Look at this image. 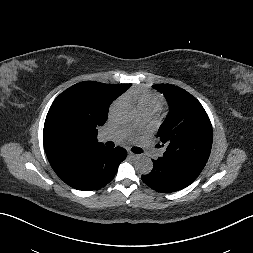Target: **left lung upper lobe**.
Listing matches in <instances>:
<instances>
[{
  "instance_id": "1",
  "label": "left lung upper lobe",
  "mask_w": 253,
  "mask_h": 253,
  "mask_svg": "<svg viewBox=\"0 0 253 253\" xmlns=\"http://www.w3.org/2000/svg\"><path fill=\"white\" fill-rule=\"evenodd\" d=\"M153 87L166 97L170 110L158 130L166 147L160 157L201 172L212 147V126L201 103L184 89L157 84Z\"/></svg>"
}]
</instances>
